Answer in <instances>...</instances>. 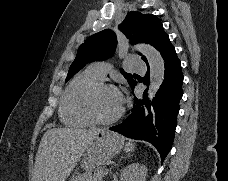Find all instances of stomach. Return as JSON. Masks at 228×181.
<instances>
[{"label": "stomach", "mask_w": 228, "mask_h": 181, "mask_svg": "<svg viewBox=\"0 0 228 181\" xmlns=\"http://www.w3.org/2000/svg\"><path fill=\"white\" fill-rule=\"evenodd\" d=\"M123 137L117 133H111L107 129L96 133L92 139L91 145H88L85 153L81 155L80 167L86 173H91L96 163L108 161L120 153L123 149Z\"/></svg>", "instance_id": "0dacf381"}]
</instances>
